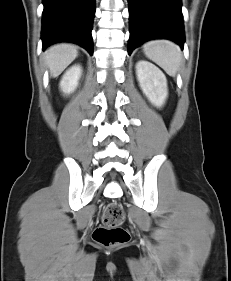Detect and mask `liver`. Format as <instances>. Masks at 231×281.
Masks as SVG:
<instances>
[{
    "instance_id": "6515ba94",
    "label": "liver",
    "mask_w": 231,
    "mask_h": 281,
    "mask_svg": "<svg viewBox=\"0 0 231 281\" xmlns=\"http://www.w3.org/2000/svg\"><path fill=\"white\" fill-rule=\"evenodd\" d=\"M77 55V47L69 43H60L49 47L45 51L44 57L51 76L60 75Z\"/></svg>"
}]
</instances>
